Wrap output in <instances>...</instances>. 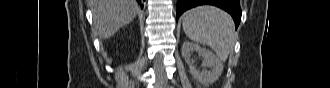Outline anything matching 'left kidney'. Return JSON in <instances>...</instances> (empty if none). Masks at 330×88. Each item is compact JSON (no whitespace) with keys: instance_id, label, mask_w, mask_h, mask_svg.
Here are the masks:
<instances>
[{"instance_id":"left-kidney-1","label":"left kidney","mask_w":330,"mask_h":88,"mask_svg":"<svg viewBox=\"0 0 330 88\" xmlns=\"http://www.w3.org/2000/svg\"><path fill=\"white\" fill-rule=\"evenodd\" d=\"M196 51L199 56L203 57V70L200 71L193 66L191 59V53ZM182 57L189 65V70L194 79L203 85H209L214 83L221 76L224 66L223 63L217 58V56L209 49L202 48L196 43L186 41L183 43L181 48ZM211 68V70H207Z\"/></svg>"}]
</instances>
